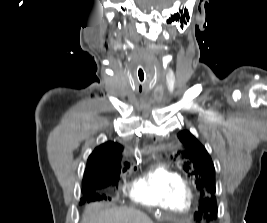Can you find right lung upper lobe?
Instances as JSON below:
<instances>
[{
	"mask_svg": "<svg viewBox=\"0 0 267 223\" xmlns=\"http://www.w3.org/2000/svg\"><path fill=\"white\" fill-rule=\"evenodd\" d=\"M121 151V145L114 142H106L97 147L88 158L84 179H102L113 170H121Z\"/></svg>",
	"mask_w": 267,
	"mask_h": 223,
	"instance_id": "obj_1",
	"label": "right lung upper lobe"
}]
</instances>
